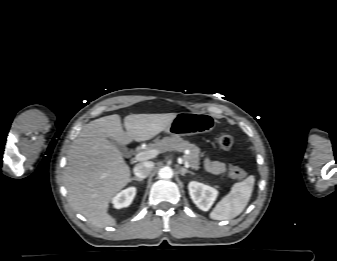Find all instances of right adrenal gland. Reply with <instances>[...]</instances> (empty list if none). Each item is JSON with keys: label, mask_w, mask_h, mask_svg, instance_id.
Returning <instances> with one entry per match:
<instances>
[{"label": "right adrenal gland", "mask_w": 337, "mask_h": 261, "mask_svg": "<svg viewBox=\"0 0 337 261\" xmlns=\"http://www.w3.org/2000/svg\"><path fill=\"white\" fill-rule=\"evenodd\" d=\"M133 180H136V181L141 182V181H143V178L134 177V178H131V179H130V182L133 181Z\"/></svg>", "instance_id": "obj_1"}]
</instances>
